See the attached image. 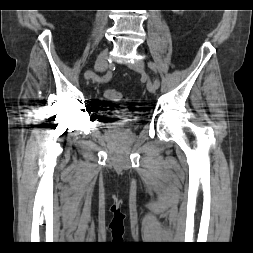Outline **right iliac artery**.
I'll list each match as a JSON object with an SVG mask.
<instances>
[{"instance_id": "obj_1", "label": "right iliac artery", "mask_w": 253, "mask_h": 253, "mask_svg": "<svg viewBox=\"0 0 253 253\" xmlns=\"http://www.w3.org/2000/svg\"><path fill=\"white\" fill-rule=\"evenodd\" d=\"M92 72V71H91ZM91 78L99 82H108L111 79V73L108 71L102 78H99L94 73L91 75Z\"/></svg>"}]
</instances>
